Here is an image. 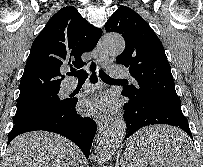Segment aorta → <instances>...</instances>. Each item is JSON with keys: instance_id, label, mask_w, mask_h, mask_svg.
Wrapping results in <instances>:
<instances>
[{"instance_id": "aorta-1", "label": "aorta", "mask_w": 203, "mask_h": 167, "mask_svg": "<svg viewBox=\"0 0 203 167\" xmlns=\"http://www.w3.org/2000/svg\"><path fill=\"white\" fill-rule=\"evenodd\" d=\"M102 47L108 54L119 55L124 51L125 41L121 35L106 34L102 40ZM125 135L126 123L124 120L119 119L115 121L103 135L97 148V158L99 163H104L110 159L122 143Z\"/></svg>"}]
</instances>
